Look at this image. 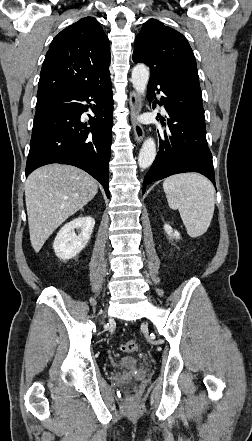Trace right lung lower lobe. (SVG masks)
<instances>
[{"label": "right lung lower lobe", "mask_w": 252, "mask_h": 441, "mask_svg": "<svg viewBox=\"0 0 252 441\" xmlns=\"http://www.w3.org/2000/svg\"><path fill=\"white\" fill-rule=\"evenodd\" d=\"M90 101L95 117L91 128L80 118ZM91 106V104H90ZM113 98L110 82L97 87H77L37 99L26 177L51 163L83 169L105 189L109 198V160L112 142Z\"/></svg>", "instance_id": "98d812e1"}]
</instances>
